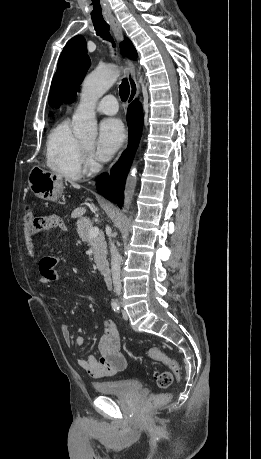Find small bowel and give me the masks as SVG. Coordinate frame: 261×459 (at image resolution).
Returning a JSON list of instances; mask_svg holds the SVG:
<instances>
[{
	"label": "small bowel",
	"instance_id": "c3829d8e",
	"mask_svg": "<svg viewBox=\"0 0 261 459\" xmlns=\"http://www.w3.org/2000/svg\"><path fill=\"white\" fill-rule=\"evenodd\" d=\"M61 229L65 230L66 225L61 217L57 215L50 216L42 220V227L36 230L34 235V245L36 246V234L41 230ZM57 262L56 258L46 257L39 262L40 283L46 287H50L55 281L62 279L55 270L54 266ZM61 333L67 345L72 344V335L67 325H61ZM75 343L79 347H83L86 339L83 336H78ZM100 357L89 354L78 361L79 366L94 378H104L115 375L124 370L127 366V361L121 353V337L118 327L112 320L103 322V334L99 341Z\"/></svg>",
	"mask_w": 261,
	"mask_h": 459
}]
</instances>
